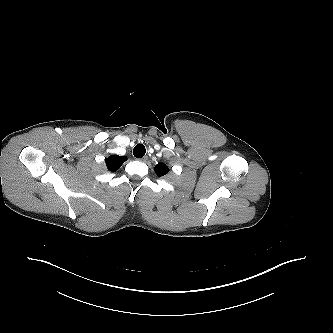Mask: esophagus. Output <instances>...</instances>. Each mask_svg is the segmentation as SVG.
<instances>
[{"label": "esophagus", "instance_id": "obj_1", "mask_svg": "<svg viewBox=\"0 0 333 333\" xmlns=\"http://www.w3.org/2000/svg\"><path fill=\"white\" fill-rule=\"evenodd\" d=\"M147 159H148L147 156H144V157H142V158H139L138 160H139V161H142V162H146Z\"/></svg>", "mask_w": 333, "mask_h": 333}]
</instances>
